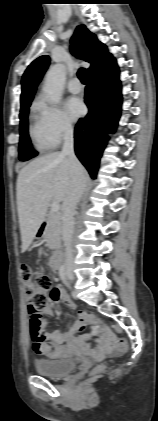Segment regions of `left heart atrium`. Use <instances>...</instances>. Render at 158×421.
<instances>
[{
	"mask_svg": "<svg viewBox=\"0 0 158 421\" xmlns=\"http://www.w3.org/2000/svg\"><path fill=\"white\" fill-rule=\"evenodd\" d=\"M67 113L72 119H78L85 112V105L83 101L77 97L69 98L65 103Z\"/></svg>",
	"mask_w": 158,
	"mask_h": 421,
	"instance_id": "obj_1",
	"label": "left heart atrium"
}]
</instances>
